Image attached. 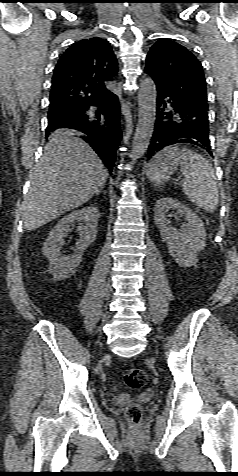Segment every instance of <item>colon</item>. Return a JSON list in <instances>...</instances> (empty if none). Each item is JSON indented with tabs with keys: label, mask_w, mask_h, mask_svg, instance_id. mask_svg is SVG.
<instances>
[{
	"label": "colon",
	"mask_w": 238,
	"mask_h": 476,
	"mask_svg": "<svg viewBox=\"0 0 238 476\" xmlns=\"http://www.w3.org/2000/svg\"><path fill=\"white\" fill-rule=\"evenodd\" d=\"M125 384L132 389L142 388L147 382L146 373L139 368L129 369L124 375ZM142 416V408L140 405L132 403L126 408V417L133 423L138 424Z\"/></svg>",
	"instance_id": "1"
}]
</instances>
